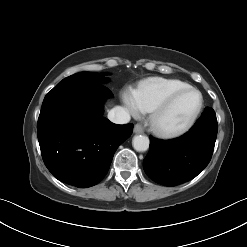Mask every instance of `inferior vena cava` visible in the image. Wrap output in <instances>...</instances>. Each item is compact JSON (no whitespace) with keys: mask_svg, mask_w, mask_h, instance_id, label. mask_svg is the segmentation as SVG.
<instances>
[{"mask_svg":"<svg viewBox=\"0 0 247 247\" xmlns=\"http://www.w3.org/2000/svg\"><path fill=\"white\" fill-rule=\"evenodd\" d=\"M108 119L116 124H126L130 121V114L126 108L116 106L109 111Z\"/></svg>","mask_w":247,"mask_h":247,"instance_id":"inferior-vena-cava-1","label":"inferior vena cava"}]
</instances>
